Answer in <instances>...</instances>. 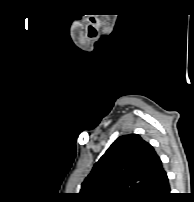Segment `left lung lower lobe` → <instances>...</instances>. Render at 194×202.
I'll list each match as a JSON object with an SVG mask.
<instances>
[{
    "instance_id": "obj_1",
    "label": "left lung lower lobe",
    "mask_w": 194,
    "mask_h": 202,
    "mask_svg": "<svg viewBox=\"0 0 194 202\" xmlns=\"http://www.w3.org/2000/svg\"><path fill=\"white\" fill-rule=\"evenodd\" d=\"M170 187L168 182V177L166 173L163 174L161 178L160 185L155 193V197L152 202H167L170 197Z\"/></svg>"
}]
</instances>
